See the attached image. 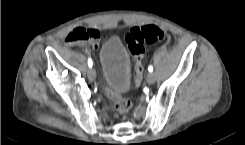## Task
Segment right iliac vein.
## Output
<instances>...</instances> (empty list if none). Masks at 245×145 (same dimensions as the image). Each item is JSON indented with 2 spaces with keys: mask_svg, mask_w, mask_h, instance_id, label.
Segmentation results:
<instances>
[{
  "mask_svg": "<svg viewBox=\"0 0 245 145\" xmlns=\"http://www.w3.org/2000/svg\"><path fill=\"white\" fill-rule=\"evenodd\" d=\"M96 77V72H95V69L94 68H90L88 70V78L93 81Z\"/></svg>",
  "mask_w": 245,
  "mask_h": 145,
  "instance_id": "63e3f726",
  "label": "right iliac vein"
}]
</instances>
